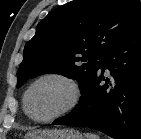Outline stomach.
I'll list each match as a JSON object with an SVG mask.
<instances>
[{
	"label": "stomach",
	"mask_w": 141,
	"mask_h": 139,
	"mask_svg": "<svg viewBox=\"0 0 141 139\" xmlns=\"http://www.w3.org/2000/svg\"><path fill=\"white\" fill-rule=\"evenodd\" d=\"M25 139H84L82 134L70 128L37 130L25 136Z\"/></svg>",
	"instance_id": "0dacf381"
}]
</instances>
